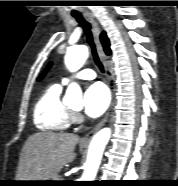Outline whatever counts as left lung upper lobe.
<instances>
[{"label":"left lung upper lobe","instance_id":"left-lung-upper-lobe-1","mask_svg":"<svg viewBox=\"0 0 178 186\" xmlns=\"http://www.w3.org/2000/svg\"><path fill=\"white\" fill-rule=\"evenodd\" d=\"M51 63L47 66V68L43 71V73L39 76V78H38V80H41L44 76H45V74H46V72L49 70V68L51 67Z\"/></svg>","mask_w":178,"mask_h":186}]
</instances>
